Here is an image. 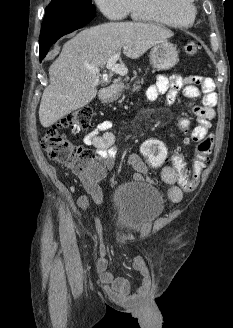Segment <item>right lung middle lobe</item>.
I'll return each instance as SVG.
<instances>
[{"label": "right lung middle lobe", "instance_id": "1", "mask_svg": "<svg viewBox=\"0 0 233 328\" xmlns=\"http://www.w3.org/2000/svg\"><path fill=\"white\" fill-rule=\"evenodd\" d=\"M95 13V6L92 0H52L46 8V13Z\"/></svg>", "mask_w": 233, "mask_h": 328}]
</instances>
